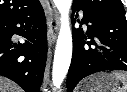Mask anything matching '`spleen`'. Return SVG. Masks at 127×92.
Masks as SVG:
<instances>
[{
  "label": "spleen",
  "mask_w": 127,
  "mask_h": 92,
  "mask_svg": "<svg viewBox=\"0 0 127 92\" xmlns=\"http://www.w3.org/2000/svg\"><path fill=\"white\" fill-rule=\"evenodd\" d=\"M110 76L122 83V87L114 90V92H127V72L113 71Z\"/></svg>",
  "instance_id": "obj_1"
}]
</instances>
